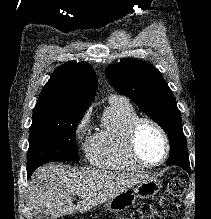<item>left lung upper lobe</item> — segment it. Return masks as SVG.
Segmentation results:
<instances>
[{"mask_svg": "<svg viewBox=\"0 0 211 219\" xmlns=\"http://www.w3.org/2000/svg\"><path fill=\"white\" fill-rule=\"evenodd\" d=\"M106 76L119 93L131 98L164 129L170 142V154L189 159L181 114L160 71L141 61L129 59L109 65Z\"/></svg>", "mask_w": 211, "mask_h": 219, "instance_id": "1", "label": "left lung upper lobe"}]
</instances>
